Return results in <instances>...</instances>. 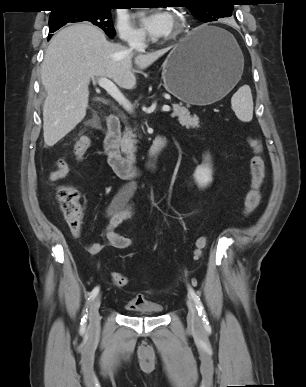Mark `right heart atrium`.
Here are the masks:
<instances>
[{
    "instance_id": "1",
    "label": "right heart atrium",
    "mask_w": 306,
    "mask_h": 387,
    "mask_svg": "<svg viewBox=\"0 0 306 387\" xmlns=\"http://www.w3.org/2000/svg\"><path fill=\"white\" fill-rule=\"evenodd\" d=\"M116 27L120 38L128 44H137L144 40L143 32L136 28L126 16L118 17Z\"/></svg>"
}]
</instances>
